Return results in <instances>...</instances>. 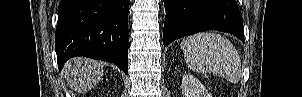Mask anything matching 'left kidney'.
<instances>
[{
  "mask_svg": "<svg viewBox=\"0 0 302 97\" xmlns=\"http://www.w3.org/2000/svg\"><path fill=\"white\" fill-rule=\"evenodd\" d=\"M181 90L183 97H211L203 84L190 74L182 77Z\"/></svg>",
  "mask_w": 302,
  "mask_h": 97,
  "instance_id": "5707ae66",
  "label": "left kidney"
}]
</instances>
